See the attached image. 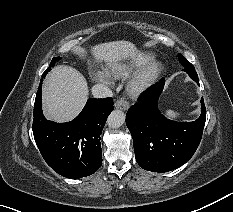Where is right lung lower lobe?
I'll use <instances>...</instances> for the list:
<instances>
[{
  "instance_id": "98d812e1",
  "label": "right lung lower lobe",
  "mask_w": 233,
  "mask_h": 212,
  "mask_svg": "<svg viewBox=\"0 0 233 212\" xmlns=\"http://www.w3.org/2000/svg\"><path fill=\"white\" fill-rule=\"evenodd\" d=\"M42 81L36 94L32 126L41 155L64 177L81 178L93 174L102 164L100 135L114 108L112 98L88 99L74 120L55 123L42 113Z\"/></svg>"
}]
</instances>
